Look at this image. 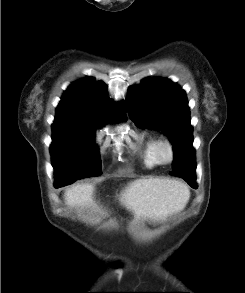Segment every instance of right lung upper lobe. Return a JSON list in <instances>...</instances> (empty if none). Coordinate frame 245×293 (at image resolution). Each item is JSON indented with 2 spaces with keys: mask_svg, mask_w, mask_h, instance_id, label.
I'll return each instance as SVG.
<instances>
[{
  "mask_svg": "<svg viewBox=\"0 0 245 293\" xmlns=\"http://www.w3.org/2000/svg\"><path fill=\"white\" fill-rule=\"evenodd\" d=\"M126 120L125 104L113 103L107 96V87L86 77L72 83L56 108L54 123L73 124L96 129L109 121Z\"/></svg>",
  "mask_w": 245,
  "mask_h": 293,
  "instance_id": "obj_1",
  "label": "right lung upper lobe"
}]
</instances>
